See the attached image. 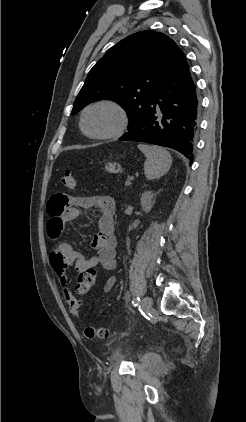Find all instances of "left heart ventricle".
<instances>
[{
    "instance_id": "left-heart-ventricle-1",
    "label": "left heart ventricle",
    "mask_w": 246,
    "mask_h": 422,
    "mask_svg": "<svg viewBox=\"0 0 246 422\" xmlns=\"http://www.w3.org/2000/svg\"><path fill=\"white\" fill-rule=\"evenodd\" d=\"M118 123L117 113L110 107L99 106L89 110L85 116V127L93 134L113 130Z\"/></svg>"
}]
</instances>
